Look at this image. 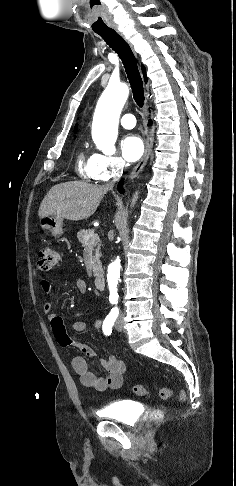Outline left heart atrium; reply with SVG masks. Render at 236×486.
I'll use <instances>...</instances> for the list:
<instances>
[{
  "mask_svg": "<svg viewBox=\"0 0 236 486\" xmlns=\"http://www.w3.org/2000/svg\"><path fill=\"white\" fill-rule=\"evenodd\" d=\"M121 152L126 161H137L144 152L142 140L136 135H127L121 141Z\"/></svg>",
  "mask_w": 236,
  "mask_h": 486,
  "instance_id": "39dd6f15",
  "label": "left heart atrium"
}]
</instances>
